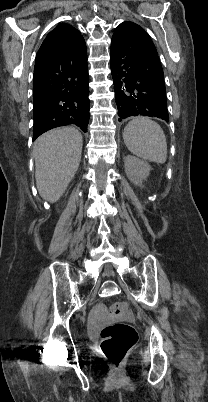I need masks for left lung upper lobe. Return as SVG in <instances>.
Here are the masks:
<instances>
[{"instance_id":"5c2ea615","label":"left lung upper lobe","mask_w":208,"mask_h":402,"mask_svg":"<svg viewBox=\"0 0 208 402\" xmlns=\"http://www.w3.org/2000/svg\"><path fill=\"white\" fill-rule=\"evenodd\" d=\"M144 50H145V58H144L145 67L148 68L150 71H152L154 74H156L158 77L164 79L163 69L159 61L157 50L150 37H148L144 43Z\"/></svg>"}]
</instances>
